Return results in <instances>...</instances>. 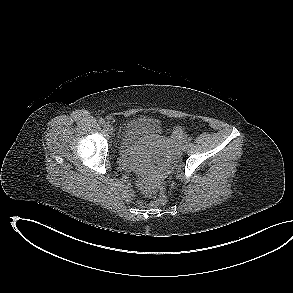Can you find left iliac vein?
I'll use <instances>...</instances> for the list:
<instances>
[{
  "label": "left iliac vein",
  "mask_w": 293,
  "mask_h": 293,
  "mask_svg": "<svg viewBox=\"0 0 293 293\" xmlns=\"http://www.w3.org/2000/svg\"><path fill=\"white\" fill-rule=\"evenodd\" d=\"M181 149H182L183 151H186V149H187V142H186L185 140H184L183 143H182Z\"/></svg>",
  "instance_id": "obj_1"
}]
</instances>
